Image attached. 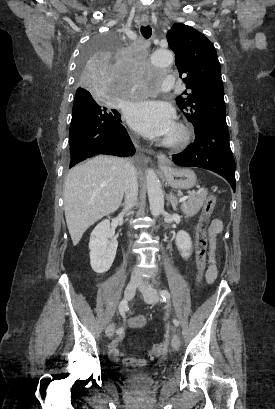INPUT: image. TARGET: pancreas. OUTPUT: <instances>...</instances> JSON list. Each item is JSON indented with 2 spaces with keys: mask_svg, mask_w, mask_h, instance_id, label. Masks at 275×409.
Listing matches in <instances>:
<instances>
[{
  "mask_svg": "<svg viewBox=\"0 0 275 409\" xmlns=\"http://www.w3.org/2000/svg\"><path fill=\"white\" fill-rule=\"evenodd\" d=\"M208 194V190H202V192H192L189 194L188 200H183L182 202V211L186 217H193L196 215L198 211H200L204 200H206V196Z\"/></svg>",
  "mask_w": 275,
  "mask_h": 409,
  "instance_id": "obj_1",
  "label": "pancreas"
}]
</instances>
